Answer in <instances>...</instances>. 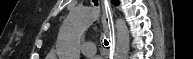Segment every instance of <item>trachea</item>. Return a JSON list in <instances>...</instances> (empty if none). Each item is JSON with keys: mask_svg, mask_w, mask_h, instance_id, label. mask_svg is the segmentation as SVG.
Returning <instances> with one entry per match:
<instances>
[{"mask_svg": "<svg viewBox=\"0 0 193 59\" xmlns=\"http://www.w3.org/2000/svg\"><path fill=\"white\" fill-rule=\"evenodd\" d=\"M104 45H105V46H108V45H109V43H108V41H107L106 39L104 40Z\"/></svg>", "mask_w": 193, "mask_h": 59, "instance_id": "trachea-1", "label": "trachea"}]
</instances>
